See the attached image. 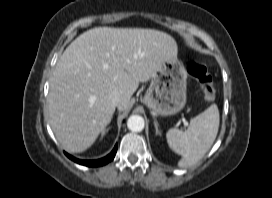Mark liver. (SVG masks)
Listing matches in <instances>:
<instances>
[{
	"label": "liver",
	"mask_w": 272,
	"mask_h": 198,
	"mask_svg": "<svg viewBox=\"0 0 272 198\" xmlns=\"http://www.w3.org/2000/svg\"><path fill=\"white\" fill-rule=\"evenodd\" d=\"M178 46L155 29L97 27L78 36L58 60L47 98L49 122L63 149L87 150L115 112L109 95L121 96L128 108L140 82H147Z\"/></svg>",
	"instance_id": "1"
}]
</instances>
